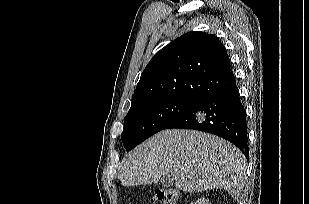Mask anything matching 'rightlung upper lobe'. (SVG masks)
Masks as SVG:
<instances>
[{
  "mask_svg": "<svg viewBox=\"0 0 309 204\" xmlns=\"http://www.w3.org/2000/svg\"><path fill=\"white\" fill-rule=\"evenodd\" d=\"M234 82L230 59L219 39L189 32L157 52L144 69L132 105L162 97L200 100Z\"/></svg>",
  "mask_w": 309,
  "mask_h": 204,
  "instance_id": "obj_1",
  "label": "right lung upper lobe"
}]
</instances>
